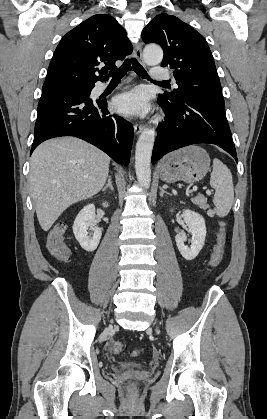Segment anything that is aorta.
<instances>
[{"mask_svg":"<svg viewBox=\"0 0 267 419\" xmlns=\"http://www.w3.org/2000/svg\"><path fill=\"white\" fill-rule=\"evenodd\" d=\"M143 58L148 65H157L163 59V51L157 45H148L144 49ZM156 132L153 128H146L140 134L135 151V170L139 185L145 189L151 182V155Z\"/></svg>","mask_w":267,"mask_h":419,"instance_id":"762f6f07","label":"aorta"}]
</instances>
